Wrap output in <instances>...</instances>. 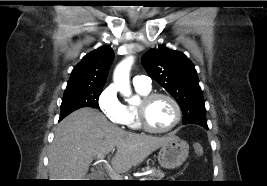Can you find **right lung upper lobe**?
<instances>
[{"label": "right lung upper lobe", "mask_w": 267, "mask_h": 186, "mask_svg": "<svg viewBox=\"0 0 267 186\" xmlns=\"http://www.w3.org/2000/svg\"><path fill=\"white\" fill-rule=\"evenodd\" d=\"M113 58L114 53L109 46H102L85 55L74 67L66 89H103Z\"/></svg>", "instance_id": "right-lung-upper-lobe-1"}]
</instances>
